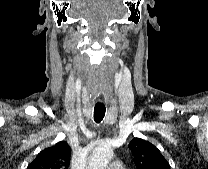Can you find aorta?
<instances>
[{
    "label": "aorta",
    "instance_id": "762f6f07",
    "mask_svg": "<svg viewBox=\"0 0 208 169\" xmlns=\"http://www.w3.org/2000/svg\"><path fill=\"white\" fill-rule=\"evenodd\" d=\"M113 157V149L108 144L98 145L90 156V169H106L109 161Z\"/></svg>",
    "mask_w": 208,
    "mask_h": 169
}]
</instances>
